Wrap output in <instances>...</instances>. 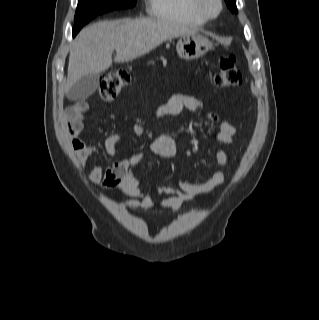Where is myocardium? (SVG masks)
I'll use <instances>...</instances> for the list:
<instances>
[{
  "label": "myocardium",
  "instance_id": "myocardium-1",
  "mask_svg": "<svg viewBox=\"0 0 319 320\" xmlns=\"http://www.w3.org/2000/svg\"><path fill=\"white\" fill-rule=\"evenodd\" d=\"M209 2H213L216 5V9L214 11L209 8ZM194 8L206 21L214 20L223 10V2L222 0H194Z\"/></svg>",
  "mask_w": 319,
  "mask_h": 320
}]
</instances>
